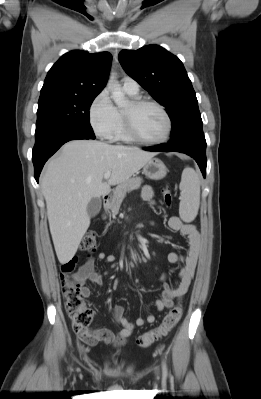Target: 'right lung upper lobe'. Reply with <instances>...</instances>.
<instances>
[{
    "label": "right lung upper lobe",
    "mask_w": 261,
    "mask_h": 399,
    "mask_svg": "<svg viewBox=\"0 0 261 399\" xmlns=\"http://www.w3.org/2000/svg\"><path fill=\"white\" fill-rule=\"evenodd\" d=\"M111 54L74 50L64 54L49 70L40 96L98 95L105 87Z\"/></svg>",
    "instance_id": "1"
}]
</instances>
